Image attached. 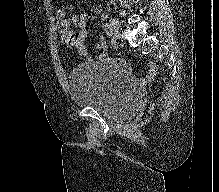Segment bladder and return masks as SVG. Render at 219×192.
Here are the masks:
<instances>
[{
    "label": "bladder",
    "mask_w": 219,
    "mask_h": 192,
    "mask_svg": "<svg viewBox=\"0 0 219 192\" xmlns=\"http://www.w3.org/2000/svg\"><path fill=\"white\" fill-rule=\"evenodd\" d=\"M67 81L74 103L112 121L129 120L141 107V93L122 70L109 63L79 64L71 69Z\"/></svg>",
    "instance_id": "obj_1"
}]
</instances>
